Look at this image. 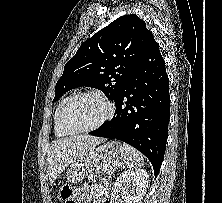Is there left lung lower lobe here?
Returning <instances> with one entry per match:
<instances>
[{"mask_svg": "<svg viewBox=\"0 0 222 203\" xmlns=\"http://www.w3.org/2000/svg\"><path fill=\"white\" fill-rule=\"evenodd\" d=\"M114 102L112 120L89 134L135 147L150 160L157 176L166 149L170 97L164 59L152 33Z\"/></svg>", "mask_w": 222, "mask_h": 203, "instance_id": "0a47b994", "label": "left lung lower lobe"}]
</instances>
